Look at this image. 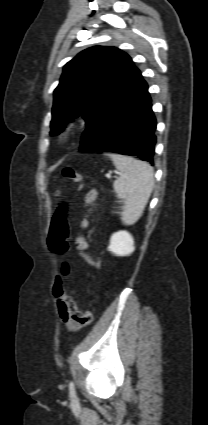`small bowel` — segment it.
<instances>
[{"label":"small bowel","instance_id":"small-bowel-1","mask_svg":"<svg viewBox=\"0 0 208 425\" xmlns=\"http://www.w3.org/2000/svg\"><path fill=\"white\" fill-rule=\"evenodd\" d=\"M96 198V192L94 190L89 191V193L87 194V200L89 202L94 201ZM88 226V222L85 221L82 224V227L85 228ZM77 245L80 249H86L88 248L89 244L86 241L85 238L80 237L77 241ZM57 308H58V313H59V317L61 319V321L69 328V329H76L79 326L76 325L69 317L68 312H67V307L66 304L63 300L61 299H57Z\"/></svg>","mask_w":208,"mask_h":425}]
</instances>
